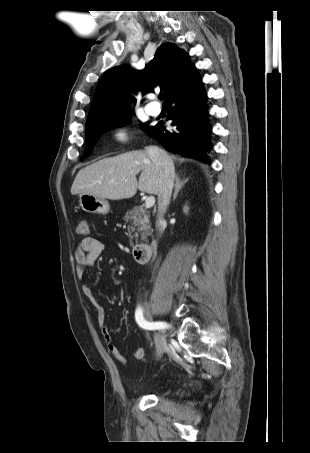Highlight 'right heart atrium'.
Instances as JSON below:
<instances>
[{
  "label": "right heart atrium",
  "mask_w": 310,
  "mask_h": 453,
  "mask_svg": "<svg viewBox=\"0 0 310 453\" xmlns=\"http://www.w3.org/2000/svg\"><path fill=\"white\" fill-rule=\"evenodd\" d=\"M113 137L118 142H125L128 139V131L126 129H118Z\"/></svg>",
  "instance_id": "obj_1"
}]
</instances>
